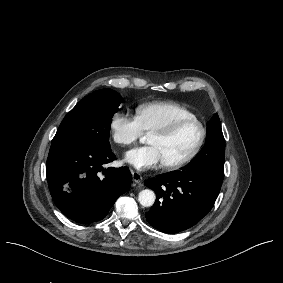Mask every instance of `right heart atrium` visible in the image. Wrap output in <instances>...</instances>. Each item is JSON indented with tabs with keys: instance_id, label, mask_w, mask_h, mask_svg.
I'll return each instance as SVG.
<instances>
[{
	"instance_id": "1",
	"label": "right heart atrium",
	"mask_w": 283,
	"mask_h": 283,
	"mask_svg": "<svg viewBox=\"0 0 283 283\" xmlns=\"http://www.w3.org/2000/svg\"><path fill=\"white\" fill-rule=\"evenodd\" d=\"M108 128L111 140L119 146H129L143 134L138 119L121 111L111 115Z\"/></svg>"
}]
</instances>
